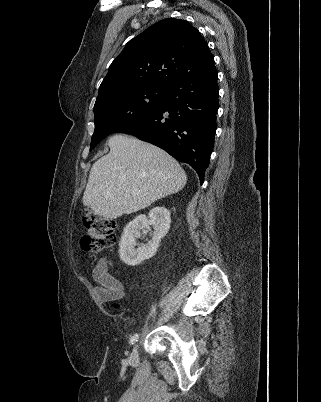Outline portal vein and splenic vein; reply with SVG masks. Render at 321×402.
Segmentation results:
<instances>
[{"label":"portal vein and splenic vein","instance_id":"18ae733b","mask_svg":"<svg viewBox=\"0 0 321 402\" xmlns=\"http://www.w3.org/2000/svg\"><path fill=\"white\" fill-rule=\"evenodd\" d=\"M123 181L122 180H118V183L121 184Z\"/></svg>","mask_w":321,"mask_h":402}]
</instances>
